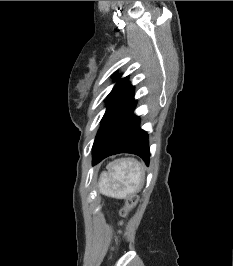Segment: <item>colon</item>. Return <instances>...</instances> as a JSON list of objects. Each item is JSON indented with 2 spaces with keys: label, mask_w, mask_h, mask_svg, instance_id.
Here are the masks:
<instances>
[{
  "label": "colon",
  "mask_w": 233,
  "mask_h": 266,
  "mask_svg": "<svg viewBox=\"0 0 233 266\" xmlns=\"http://www.w3.org/2000/svg\"><path fill=\"white\" fill-rule=\"evenodd\" d=\"M137 203V199L134 197L128 198L125 205L121 209L120 213L123 217L127 216L130 210L135 206Z\"/></svg>",
  "instance_id": "5ec220e1"
}]
</instances>
